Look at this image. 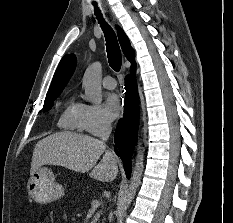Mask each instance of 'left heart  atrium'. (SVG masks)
I'll list each match as a JSON object with an SVG mask.
<instances>
[{
	"label": "left heart atrium",
	"instance_id": "obj_1",
	"mask_svg": "<svg viewBox=\"0 0 233 223\" xmlns=\"http://www.w3.org/2000/svg\"><path fill=\"white\" fill-rule=\"evenodd\" d=\"M121 103L117 96L111 95L106 103V113L110 120L117 119L121 114Z\"/></svg>",
	"mask_w": 233,
	"mask_h": 223
}]
</instances>
